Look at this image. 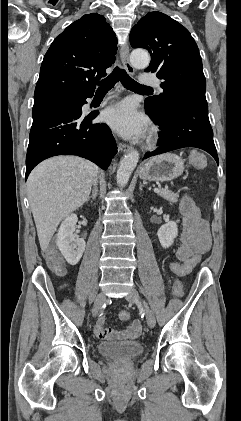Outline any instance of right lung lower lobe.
<instances>
[{"mask_svg":"<svg viewBox=\"0 0 241 421\" xmlns=\"http://www.w3.org/2000/svg\"><path fill=\"white\" fill-rule=\"evenodd\" d=\"M93 93L58 97L33 107L25 180L38 163L57 155H77L107 169L117 153L111 130L106 124L91 123L97 113L85 116L81 110Z\"/></svg>","mask_w":241,"mask_h":421,"instance_id":"obj_1","label":"right lung lower lobe"}]
</instances>
